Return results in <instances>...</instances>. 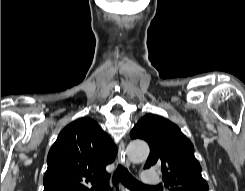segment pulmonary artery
<instances>
[{"label": "pulmonary artery", "instance_id": "e3ab8cb5", "mask_svg": "<svg viewBox=\"0 0 245 191\" xmlns=\"http://www.w3.org/2000/svg\"><path fill=\"white\" fill-rule=\"evenodd\" d=\"M142 180L147 186H154L160 183L158 174L151 169H147L142 173Z\"/></svg>", "mask_w": 245, "mask_h": 191}]
</instances>
